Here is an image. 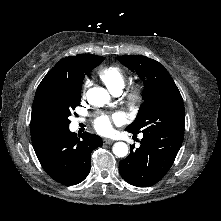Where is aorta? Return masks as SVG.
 I'll use <instances>...</instances> for the list:
<instances>
[{"label": "aorta", "mask_w": 221, "mask_h": 221, "mask_svg": "<svg viewBox=\"0 0 221 221\" xmlns=\"http://www.w3.org/2000/svg\"><path fill=\"white\" fill-rule=\"evenodd\" d=\"M109 98L107 90L101 87H93L87 91V100L91 105L103 106L109 101ZM112 150L119 158L125 157L128 154V146L124 142H116Z\"/></svg>", "instance_id": "obj_1"}]
</instances>
